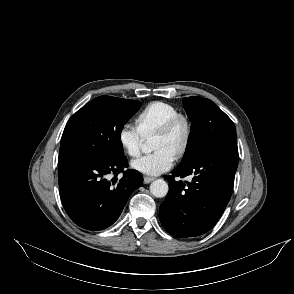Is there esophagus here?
<instances>
[{"instance_id": "obj_1", "label": "esophagus", "mask_w": 294, "mask_h": 294, "mask_svg": "<svg viewBox=\"0 0 294 294\" xmlns=\"http://www.w3.org/2000/svg\"><path fill=\"white\" fill-rule=\"evenodd\" d=\"M154 179H155L154 177L144 176V183L148 184V183L152 182Z\"/></svg>"}]
</instances>
